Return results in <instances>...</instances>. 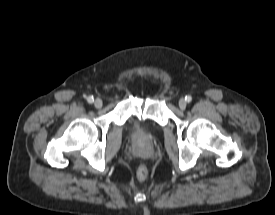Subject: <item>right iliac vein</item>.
Instances as JSON below:
<instances>
[{
	"mask_svg": "<svg viewBox=\"0 0 275 215\" xmlns=\"http://www.w3.org/2000/svg\"><path fill=\"white\" fill-rule=\"evenodd\" d=\"M94 106L96 107V108H101L102 106H103V102H102V100L101 99H96L95 101H94Z\"/></svg>",
	"mask_w": 275,
	"mask_h": 215,
	"instance_id": "1",
	"label": "right iliac vein"
}]
</instances>
